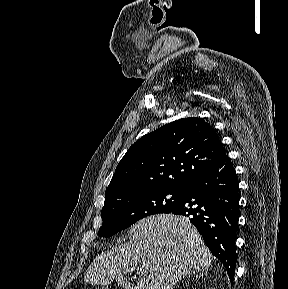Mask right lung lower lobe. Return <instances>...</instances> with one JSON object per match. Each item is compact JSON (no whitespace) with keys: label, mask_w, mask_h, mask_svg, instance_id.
<instances>
[{"label":"right lung lower lobe","mask_w":288,"mask_h":289,"mask_svg":"<svg viewBox=\"0 0 288 289\" xmlns=\"http://www.w3.org/2000/svg\"><path fill=\"white\" fill-rule=\"evenodd\" d=\"M238 209L236 173L230 159L224 154L213 166L183 187L181 202L168 212L189 218L212 254L225 266L231 282L237 261Z\"/></svg>","instance_id":"98d812e1"}]
</instances>
